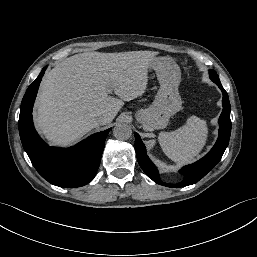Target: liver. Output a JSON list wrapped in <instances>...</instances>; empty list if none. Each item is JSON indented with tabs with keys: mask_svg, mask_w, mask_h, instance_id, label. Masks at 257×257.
<instances>
[{
	"mask_svg": "<svg viewBox=\"0 0 257 257\" xmlns=\"http://www.w3.org/2000/svg\"><path fill=\"white\" fill-rule=\"evenodd\" d=\"M154 51L85 52L56 65L42 79L36 100V125L53 145H69L100 124L110 123L123 101L141 96L147 87ZM114 92L120 99L110 96ZM103 125V124H102Z\"/></svg>",
	"mask_w": 257,
	"mask_h": 257,
	"instance_id": "6515ba94",
	"label": "liver"
}]
</instances>
